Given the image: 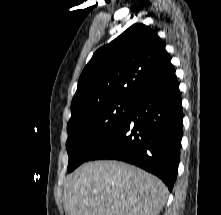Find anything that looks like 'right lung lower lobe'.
<instances>
[{
    "label": "right lung lower lobe",
    "instance_id": "98d812e1",
    "mask_svg": "<svg viewBox=\"0 0 221 215\" xmlns=\"http://www.w3.org/2000/svg\"><path fill=\"white\" fill-rule=\"evenodd\" d=\"M182 119L174 75L137 96L130 112L86 161L115 159L134 164L158 176L171 191L180 158Z\"/></svg>",
    "mask_w": 221,
    "mask_h": 215
}]
</instances>
